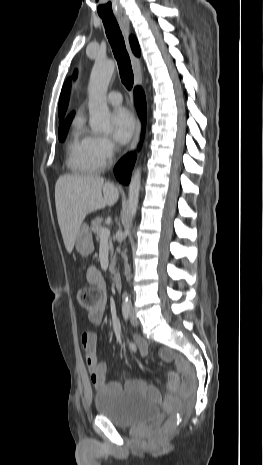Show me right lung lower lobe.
Masks as SVG:
<instances>
[{
	"label": "right lung lower lobe",
	"instance_id": "98d812e1",
	"mask_svg": "<svg viewBox=\"0 0 263 465\" xmlns=\"http://www.w3.org/2000/svg\"><path fill=\"white\" fill-rule=\"evenodd\" d=\"M134 101L143 124V131L141 139L144 137L145 124H146V99L143 90L136 87L134 91ZM136 160V154L131 153L123 157L116 167L114 173L116 178L123 184H128L130 181L131 171Z\"/></svg>",
	"mask_w": 263,
	"mask_h": 465
}]
</instances>
